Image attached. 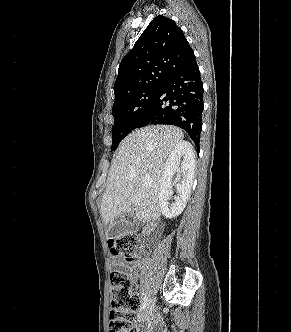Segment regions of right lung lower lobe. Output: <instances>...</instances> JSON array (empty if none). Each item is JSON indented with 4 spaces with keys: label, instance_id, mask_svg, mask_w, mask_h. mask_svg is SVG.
<instances>
[{
    "label": "right lung lower lobe",
    "instance_id": "1",
    "mask_svg": "<svg viewBox=\"0 0 291 332\" xmlns=\"http://www.w3.org/2000/svg\"><path fill=\"white\" fill-rule=\"evenodd\" d=\"M203 85L196 59L170 73L142 113L136 128L148 124L184 129L199 149L202 128Z\"/></svg>",
    "mask_w": 291,
    "mask_h": 332
}]
</instances>
